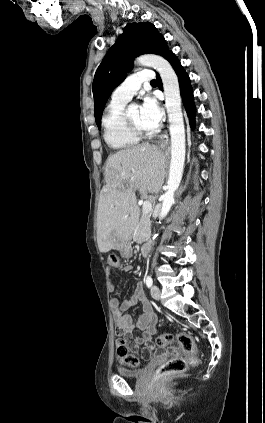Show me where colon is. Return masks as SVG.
I'll return each instance as SVG.
<instances>
[{
	"instance_id": "colon-1",
	"label": "colon",
	"mask_w": 265,
	"mask_h": 423,
	"mask_svg": "<svg viewBox=\"0 0 265 423\" xmlns=\"http://www.w3.org/2000/svg\"><path fill=\"white\" fill-rule=\"evenodd\" d=\"M108 263L110 267L118 268L120 266V259L116 254H110L108 257ZM174 340L175 345L172 346L173 349H181L186 352L188 356L173 357L161 365L156 372V377L158 379L183 373L187 370L190 364H194L198 360L193 339L185 332H178L176 335L168 332L163 333L158 336L156 343L158 347H165L171 345ZM117 354L126 366L131 368H138L140 366V360L129 354V350L124 342L118 344Z\"/></svg>"
}]
</instances>
